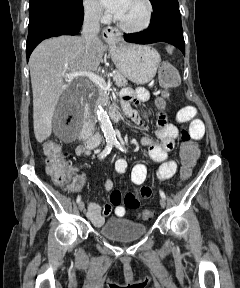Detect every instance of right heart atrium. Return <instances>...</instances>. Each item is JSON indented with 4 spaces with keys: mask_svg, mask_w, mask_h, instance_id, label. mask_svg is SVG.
Listing matches in <instances>:
<instances>
[{
    "mask_svg": "<svg viewBox=\"0 0 240 288\" xmlns=\"http://www.w3.org/2000/svg\"><path fill=\"white\" fill-rule=\"evenodd\" d=\"M85 14L92 20H104L106 14L104 13L98 0H83Z\"/></svg>",
    "mask_w": 240,
    "mask_h": 288,
    "instance_id": "1",
    "label": "right heart atrium"
}]
</instances>
